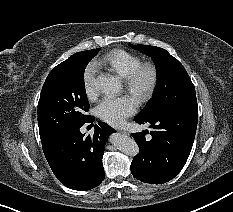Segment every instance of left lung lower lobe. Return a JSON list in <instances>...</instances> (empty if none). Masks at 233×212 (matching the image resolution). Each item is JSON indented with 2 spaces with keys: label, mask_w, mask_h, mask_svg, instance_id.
<instances>
[{
  "label": "left lung lower lobe",
  "mask_w": 233,
  "mask_h": 212,
  "mask_svg": "<svg viewBox=\"0 0 233 212\" xmlns=\"http://www.w3.org/2000/svg\"><path fill=\"white\" fill-rule=\"evenodd\" d=\"M198 111L178 108L158 110L137 116L139 124L150 123L148 130L132 134L140 148L131 163L133 176L145 183L162 184L173 179L185 165L191 152L197 127Z\"/></svg>",
  "instance_id": "obj_1"
}]
</instances>
